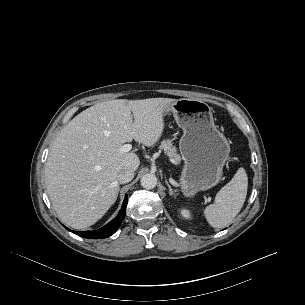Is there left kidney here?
<instances>
[{"label":"left kidney","mask_w":305,"mask_h":305,"mask_svg":"<svg viewBox=\"0 0 305 305\" xmlns=\"http://www.w3.org/2000/svg\"><path fill=\"white\" fill-rule=\"evenodd\" d=\"M181 214L184 218L189 219L191 217V213L188 209H181Z\"/></svg>","instance_id":"1"}]
</instances>
